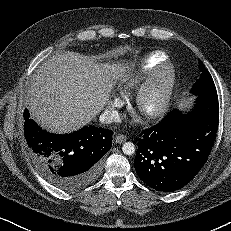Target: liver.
<instances>
[{"label":"liver","instance_id":"obj_1","mask_svg":"<svg viewBox=\"0 0 231 231\" xmlns=\"http://www.w3.org/2000/svg\"><path fill=\"white\" fill-rule=\"evenodd\" d=\"M127 67L96 63L66 51L36 69L28 89L32 117L44 128L68 133L88 124L109 100L114 79L128 76Z\"/></svg>","mask_w":231,"mask_h":231}]
</instances>
